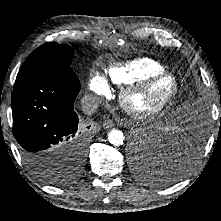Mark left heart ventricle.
Instances as JSON below:
<instances>
[{
	"label": "left heart ventricle",
	"mask_w": 221,
	"mask_h": 221,
	"mask_svg": "<svg viewBox=\"0 0 221 221\" xmlns=\"http://www.w3.org/2000/svg\"><path fill=\"white\" fill-rule=\"evenodd\" d=\"M172 83L168 79L155 82L144 92L133 98V104L146 109L155 106L171 91Z\"/></svg>",
	"instance_id": "left-heart-ventricle-1"
}]
</instances>
